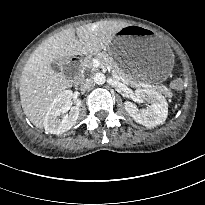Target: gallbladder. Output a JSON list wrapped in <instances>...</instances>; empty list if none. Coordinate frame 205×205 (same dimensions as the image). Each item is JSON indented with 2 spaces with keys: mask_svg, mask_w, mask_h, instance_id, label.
Listing matches in <instances>:
<instances>
[{
  "mask_svg": "<svg viewBox=\"0 0 205 205\" xmlns=\"http://www.w3.org/2000/svg\"><path fill=\"white\" fill-rule=\"evenodd\" d=\"M66 59L62 58L51 63V68L55 72H63L67 77H71L73 75L71 69L66 64Z\"/></svg>",
  "mask_w": 205,
  "mask_h": 205,
  "instance_id": "bac80fb5",
  "label": "gallbladder"
}]
</instances>
